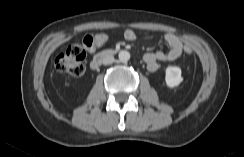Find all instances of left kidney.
Returning a JSON list of instances; mask_svg holds the SVG:
<instances>
[{
	"instance_id": "obj_1",
	"label": "left kidney",
	"mask_w": 244,
	"mask_h": 157,
	"mask_svg": "<svg viewBox=\"0 0 244 157\" xmlns=\"http://www.w3.org/2000/svg\"><path fill=\"white\" fill-rule=\"evenodd\" d=\"M183 81L181 68L177 66H168L166 68L165 82L168 87L173 88Z\"/></svg>"
}]
</instances>
